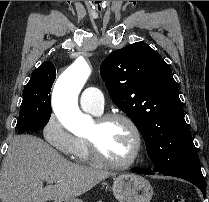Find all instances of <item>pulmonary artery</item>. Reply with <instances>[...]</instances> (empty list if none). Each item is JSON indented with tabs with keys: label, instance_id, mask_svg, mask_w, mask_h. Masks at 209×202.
I'll list each match as a JSON object with an SVG mask.
<instances>
[{
	"label": "pulmonary artery",
	"instance_id": "1",
	"mask_svg": "<svg viewBox=\"0 0 209 202\" xmlns=\"http://www.w3.org/2000/svg\"><path fill=\"white\" fill-rule=\"evenodd\" d=\"M79 104L85 111L93 114H101L104 109L102 91L99 87L88 86L80 95Z\"/></svg>",
	"mask_w": 209,
	"mask_h": 202
}]
</instances>
